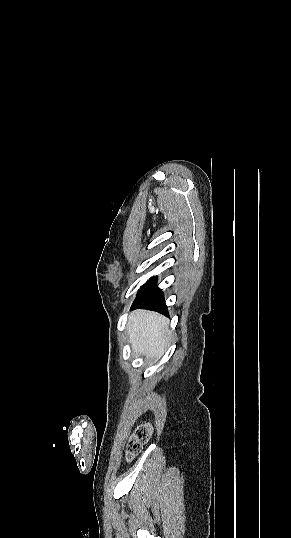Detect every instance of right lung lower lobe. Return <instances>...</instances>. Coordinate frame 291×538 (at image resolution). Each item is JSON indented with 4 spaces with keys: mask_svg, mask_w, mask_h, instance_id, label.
Wrapping results in <instances>:
<instances>
[{
    "mask_svg": "<svg viewBox=\"0 0 291 538\" xmlns=\"http://www.w3.org/2000/svg\"><path fill=\"white\" fill-rule=\"evenodd\" d=\"M148 309L168 315L167 306L164 301V294L157 286V277L151 278L140 289L134 300L131 310Z\"/></svg>",
    "mask_w": 291,
    "mask_h": 538,
    "instance_id": "1",
    "label": "right lung lower lobe"
}]
</instances>
